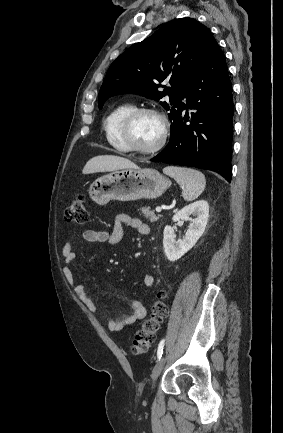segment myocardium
I'll return each instance as SVG.
<instances>
[{"label": "myocardium", "mask_w": 283, "mask_h": 433, "mask_svg": "<svg viewBox=\"0 0 283 433\" xmlns=\"http://www.w3.org/2000/svg\"><path fill=\"white\" fill-rule=\"evenodd\" d=\"M144 114H153L157 116L161 120L163 125L160 141L153 149L150 150L138 147L131 138V132L135 121L137 120V118ZM169 132L170 121L164 112L155 107L142 106L133 108L124 116L119 129V138L128 151L143 157H155L164 150Z\"/></svg>", "instance_id": "obj_1"}]
</instances>
